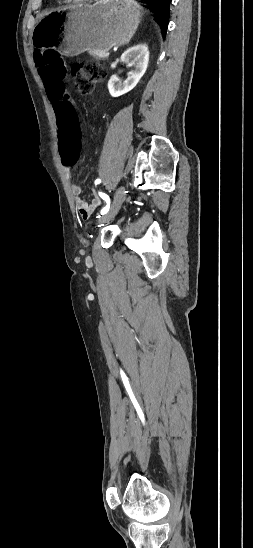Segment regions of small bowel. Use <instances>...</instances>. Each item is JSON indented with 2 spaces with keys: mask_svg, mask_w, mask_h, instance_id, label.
I'll use <instances>...</instances> for the list:
<instances>
[{
  "mask_svg": "<svg viewBox=\"0 0 253 548\" xmlns=\"http://www.w3.org/2000/svg\"><path fill=\"white\" fill-rule=\"evenodd\" d=\"M56 60H63V59L59 58V59H56ZM37 63H38V59H37ZM52 107H53V105H52ZM70 167L71 166H64V170H65V173H66L68 179L71 181ZM71 192L74 196L75 205H76L80 215L85 220L89 219L90 216L93 214V212L96 210V208L100 205V200L95 198L91 201V203H87L86 201H84L80 197V193H81L80 186L76 183H73V182H71Z\"/></svg>",
  "mask_w": 253,
  "mask_h": 548,
  "instance_id": "c3829d8e",
  "label": "small bowel"
}]
</instances>
